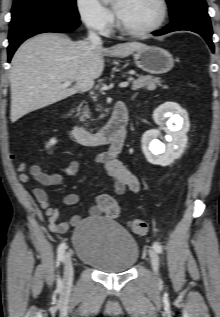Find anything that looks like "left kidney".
Returning <instances> with one entry per match:
<instances>
[{
  "label": "left kidney",
  "instance_id": "left-kidney-1",
  "mask_svg": "<svg viewBox=\"0 0 220 317\" xmlns=\"http://www.w3.org/2000/svg\"><path fill=\"white\" fill-rule=\"evenodd\" d=\"M153 119L165 131L169 143L157 139L159 130H148L142 136L143 153L150 163L167 166L180 157L187 145L188 115L177 103L166 102L154 110Z\"/></svg>",
  "mask_w": 220,
  "mask_h": 317
}]
</instances>
